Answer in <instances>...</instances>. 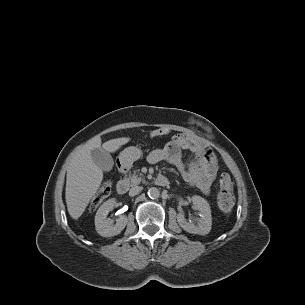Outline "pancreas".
I'll return each mask as SVG.
<instances>
[{"label": "pancreas", "mask_w": 305, "mask_h": 305, "mask_svg": "<svg viewBox=\"0 0 305 305\" xmlns=\"http://www.w3.org/2000/svg\"><path fill=\"white\" fill-rule=\"evenodd\" d=\"M138 172L139 170H135L132 175H129V177L125 178V181L129 183L130 186L138 185L141 182L145 183L143 175L138 174Z\"/></svg>", "instance_id": "pancreas-1"}]
</instances>
